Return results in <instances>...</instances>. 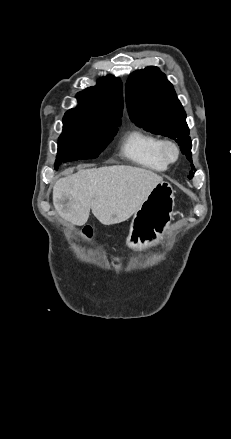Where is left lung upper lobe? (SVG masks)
<instances>
[{
  "mask_svg": "<svg viewBox=\"0 0 231 439\" xmlns=\"http://www.w3.org/2000/svg\"><path fill=\"white\" fill-rule=\"evenodd\" d=\"M126 103L129 116L136 125L151 133L174 139L182 153L192 162V144L185 111L172 84L157 67L149 66L129 76L126 82ZM193 175L191 172L189 179Z\"/></svg>",
  "mask_w": 231,
  "mask_h": 439,
  "instance_id": "5c2ea615",
  "label": "left lung upper lobe"
}]
</instances>
